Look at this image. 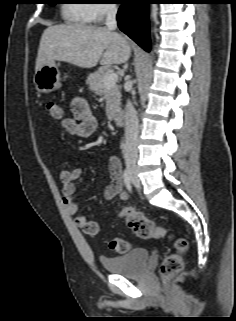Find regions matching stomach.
<instances>
[{
  "label": "stomach",
  "instance_id": "1",
  "mask_svg": "<svg viewBox=\"0 0 236 321\" xmlns=\"http://www.w3.org/2000/svg\"><path fill=\"white\" fill-rule=\"evenodd\" d=\"M33 82L36 89L41 93H50L61 87L59 63L43 65L35 71Z\"/></svg>",
  "mask_w": 236,
  "mask_h": 321
}]
</instances>
